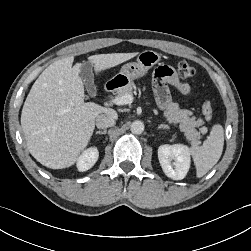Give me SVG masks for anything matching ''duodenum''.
Returning <instances> with one entry per match:
<instances>
[{
    "instance_id": "1",
    "label": "duodenum",
    "mask_w": 251,
    "mask_h": 251,
    "mask_svg": "<svg viewBox=\"0 0 251 251\" xmlns=\"http://www.w3.org/2000/svg\"><path fill=\"white\" fill-rule=\"evenodd\" d=\"M117 83L112 81V82H109L107 85H106V91L108 92H111L113 90H115L117 88Z\"/></svg>"
}]
</instances>
